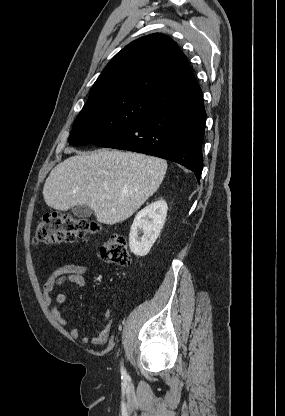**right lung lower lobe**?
Listing matches in <instances>:
<instances>
[{
    "instance_id": "right-lung-lower-lobe-1",
    "label": "right lung lower lobe",
    "mask_w": 285,
    "mask_h": 416,
    "mask_svg": "<svg viewBox=\"0 0 285 416\" xmlns=\"http://www.w3.org/2000/svg\"><path fill=\"white\" fill-rule=\"evenodd\" d=\"M206 112L202 92L162 106L94 144L157 156L202 172Z\"/></svg>"
}]
</instances>
